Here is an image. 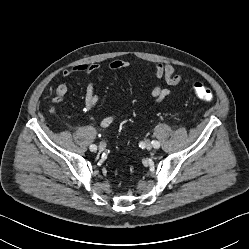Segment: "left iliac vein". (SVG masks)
<instances>
[{
	"label": "left iliac vein",
	"mask_w": 249,
	"mask_h": 249,
	"mask_svg": "<svg viewBox=\"0 0 249 249\" xmlns=\"http://www.w3.org/2000/svg\"><path fill=\"white\" fill-rule=\"evenodd\" d=\"M144 145H145V149L148 151H150L153 147L152 142L150 140H146Z\"/></svg>",
	"instance_id": "4c4485c4"
}]
</instances>
